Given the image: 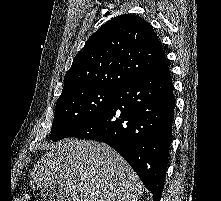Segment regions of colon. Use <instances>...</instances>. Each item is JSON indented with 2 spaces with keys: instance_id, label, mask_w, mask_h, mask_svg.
<instances>
[{
  "instance_id": "5ec220e1",
  "label": "colon",
  "mask_w": 221,
  "mask_h": 201,
  "mask_svg": "<svg viewBox=\"0 0 221 201\" xmlns=\"http://www.w3.org/2000/svg\"><path fill=\"white\" fill-rule=\"evenodd\" d=\"M14 201H31L27 194L18 196Z\"/></svg>"
}]
</instances>
